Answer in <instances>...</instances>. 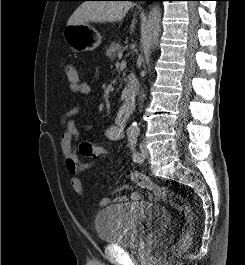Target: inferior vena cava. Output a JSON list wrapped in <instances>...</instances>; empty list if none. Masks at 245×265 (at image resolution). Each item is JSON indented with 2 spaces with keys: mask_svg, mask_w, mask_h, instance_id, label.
Listing matches in <instances>:
<instances>
[{
  "mask_svg": "<svg viewBox=\"0 0 245 265\" xmlns=\"http://www.w3.org/2000/svg\"><path fill=\"white\" fill-rule=\"evenodd\" d=\"M141 95H142V93H141ZM140 99L142 100V96H140Z\"/></svg>",
  "mask_w": 245,
  "mask_h": 265,
  "instance_id": "602c4592",
  "label": "inferior vena cava"
}]
</instances>
